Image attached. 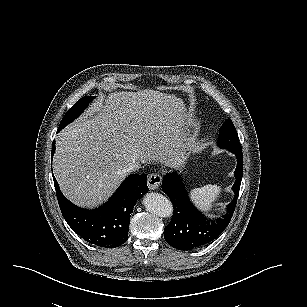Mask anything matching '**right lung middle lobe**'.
<instances>
[{"label":"right lung middle lobe","mask_w":307,"mask_h":307,"mask_svg":"<svg viewBox=\"0 0 307 307\" xmlns=\"http://www.w3.org/2000/svg\"><path fill=\"white\" fill-rule=\"evenodd\" d=\"M95 96H90V97H82L81 99H79L74 106H72L67 113L64 115L60 126L57 130V132H59L60 130H62L66 125H68L69 123H71L74 119H76L81 112L84 111V109L86 108V106L88 105L89 101H91L92 99H94Z\"/></svg>","instance_id":"obj_1"}]
</instances>
